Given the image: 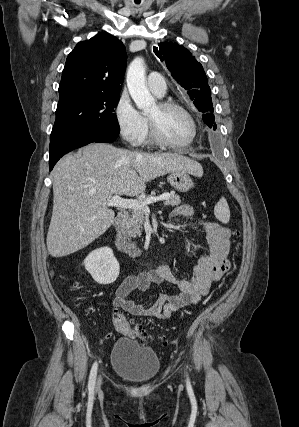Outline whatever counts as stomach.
I'll list each match as a JSON object with an SVG mask.
<instances>
[{
    "instance_id": "1",
    "label": "stomach",
    "mask_w": 299,
    "mask_h": 427,
    "mask_svg": "<svg viewBox=\"0 0 299 427\" xmlns=\"http://www.w3.org/2000/svg\"><path fill=\"white\" fill-rule=\"evenodd\" d=\"M168 181L180 192H188L194 186L190 173L184 170L170 172Z\"/></svg>"
}]
</instances>
